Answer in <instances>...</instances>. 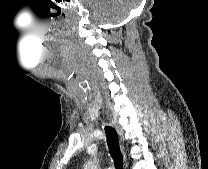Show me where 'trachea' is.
Wrapping results in <instances>:
<instances>
[{
  "mask_svg": "<svg viewBox=\"0 0 208 169\" xmlns=\"http://www.w3.org/2000/svg\"><path fill=\"white\" fill-rule=\"evenodd\" d=\"M105 133L107 137V143L109 153L114 161L116 169H123V157L120 151L118 136L112 127L106 126Z\"/></svg>",
  "mask_w": 208,
  "mask_h": 169,
  "instance_id": "3493384b",
  "label": "trachea"
}]
</instances>
